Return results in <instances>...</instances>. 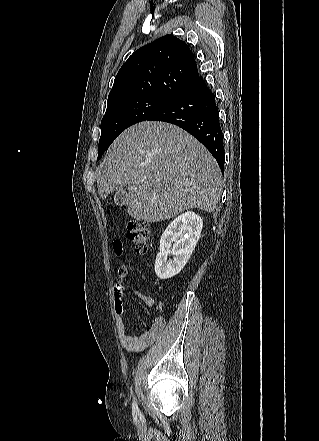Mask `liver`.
Masks as SVG:
<instances>
[{
  "mask_svg": "<svg viewBox=\"0 0 319 441\" xmlns=\"http://www.w3.org/2000/svg\"><path fill=\"white\" fill-rule=\"evenodd\" d=\"M105 200L127 188V212L138 221L168 220L188 209L215 211L222 174L211 153L176 125L144 121L122 132L101 163Z\"/></svg>",
  "mask_w": 319,
  "mask_h": 441,
  "instance_id": "6515ba94",
  "label": "liver"
}]
</instances>
